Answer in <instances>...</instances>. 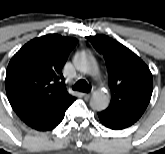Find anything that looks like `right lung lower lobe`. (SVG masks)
Masks as SVG:
<instances>
[{"mask_svg": "<svg viewBox=\"0 0 165 154\" xmlns=\"http://www.w3.org/2000/svg\"><path fill=\"white\" fill-rule=\"evenodd\" d=\"M70 94L61 97L51 104L21 117L30 127L46 131L55 128L64 118L65 111L74 102Z\"/></svg>", "mask_w": 165, "mask_h": 154, "instance_id": "98d812e1", "label": "right lung lower lobe"}]
</instances>
